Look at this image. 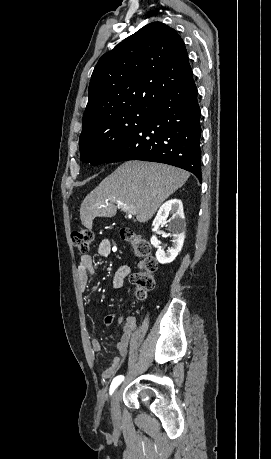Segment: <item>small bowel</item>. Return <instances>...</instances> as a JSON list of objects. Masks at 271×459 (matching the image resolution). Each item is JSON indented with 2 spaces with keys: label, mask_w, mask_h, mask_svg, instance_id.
<instances>
[{
  "label": "small bowel",
  "mask_w": 271,
  "mask_h": 459,
  "mask_svg": "<svg viewBox=\"0 0 271 459\" xmlns=\"http://www.w3.org/2000/svg\"><path fill=\"white\" fill-rule=\"evenodd\" d=\"M112 252V246L108 239H103L99 242L97 247V254L100 257H108ZM130 273V268L126 265L119 267L113 277L112 287L119 289L123 286L126 277ZM77 274L80 286L83 290L86 289L89 277L96 274V270L93 264V259L90 255H82L77 264ZM115 315L109 314L104 318V325L109 326L114 321ZM119 324L122 330V336L116 344V348L121 357H125L128 354L133 334L137 327L136 319L132 316L127 318H120ZM91 349L94 352L101 350V343L98 339L94 338L91 340ZM121 361L120 358H114L110 361L108 366L103 372V378L108 380L112 378L120 369Z\"/></svg>",
  "instance_id": "small-bowel-1"
}]
</instances>
